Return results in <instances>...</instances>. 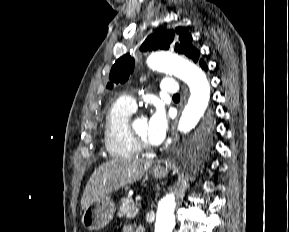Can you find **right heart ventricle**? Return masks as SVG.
Wrapping results in <instances>:
<instances>
[{
    "instance_id": "1",
    "label": "right heart ventricle",
    "mask_w": 289,
    "mask_h": 232,
    "mask_svg": "<svg viewBox=\"0 0 289 232\" xmlns=\"http://www.w3.org/2000/svg\"><path fill=\"white\" fill-rule=\"evenodd\" d=\"M133 112L122 99L113 102L106 111L103 139L105 149L112 157L131 158L139 152L127 133V122Z\"/></svg>"
}]
</instances>
